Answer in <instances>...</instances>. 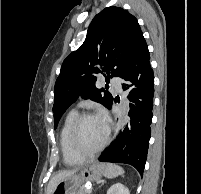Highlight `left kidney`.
I'll return each mask as SVG.
<instances>
[{
  "label": "left kidney",
  "instance_id": "5707ae66",
  "mask_svg": "<svg viewBox=\"0 0 201 194\" xmlns=\"http://www.w3.org/2000/svg\"><path fill=\"white\" fill-rule=\"evenodd\" d=\"M107 194H130V192L123 184L116 183L108 189Z\"/></svg>",
  "mask_w": 201,
  "mask_h": 194
}]
</instances>
